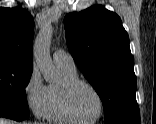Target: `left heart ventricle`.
<instances>
[{
  "instance_id": "b2bd125f",
  "label": "left heart ventricle",
  "mask_w": 156,
  "mask_h": 124,
  "mask_svg": "<svg viewBox=\"0 0 156 124\" xmlns=\"http://www.w3.org/2000/svg\"><path fill=\"white\" fill-rule=\"evenodd\" d=\"M72 104L77 114L85 120L96 117L100 111L97 95L86 86H79L75 89Z\"/></svg>"
}]
</instances>
